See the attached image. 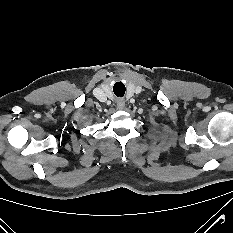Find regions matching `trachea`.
<instances>
[{"label":"trachea","mask_w":233,"mask_h":233,"mask_svg":"<svg viewBox=\"0 0 233 233\" xmlns=\"http://www.w3.org/2000/svg\"><path fill=\"white\" fill-rule=\"evenodd\" d=\"M113 90L116 96L122 97L125 93V86L122 83H116Z\"/></svg>","instance_id":"3493384b"}]
</instances>
